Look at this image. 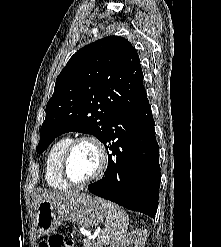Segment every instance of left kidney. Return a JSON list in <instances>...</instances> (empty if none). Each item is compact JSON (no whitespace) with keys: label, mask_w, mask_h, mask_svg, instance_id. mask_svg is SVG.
<instances>
[{"label":"left kidney","mask_w":221,"mask_h":247,"mask_svg":"<svg viewBox=\"0 0 221 247\" xmlns=\"http://www.w3.org/2000/svg\"><path fill=\"white\" fill-rule=\"evenodd\" d=\"M146 237L147 230L140 228L127 234L116 245L112 247H127L130 244L133 245V247H145Z\"/></svg>","instance_id":"left-kidney-1"}]
</instances>
